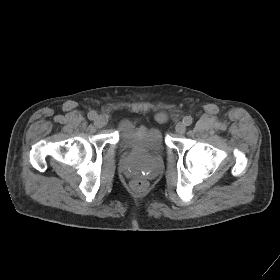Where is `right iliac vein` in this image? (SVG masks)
<instances>
[{
  "label": "right iliac vein",
  "mask_w": 280,
  "mask_h": 280,
  "mask_svg": "<svg viewBox=\"0 0 280 280\" xmlns=\"http://www.w3.org/2000/svg\"><path fill=\"white\" fill-rule=\"evenodd\" d=\"M94 124H95V126L98 127V128L104 127V126L106 125V119H105V117L102 116V115L97 116V118H96L95 121H94Z\"/></svg>",
  "instance_id": "right-iliac-vein-1"
}]
</instances>
